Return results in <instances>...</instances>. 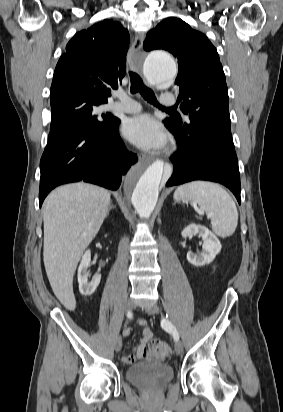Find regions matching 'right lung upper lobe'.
<instances>
[{
	"mask_svg": "<svg viewBox=\"0 0 283 412\" xmlns=\"http://www.w3.org/2000/svg\"><path fill=\"white\" fill-rule=\"evenodd\" d=\"M128 47V31L112 20L75 34L54 72L51 116L75 103H107L125 75Z\"/></svg>",
	"mask_w": 283,
	"mask_h": 412,
	"instance_id": "cb5924a9",
	"label": "right lung upper lobe"
}]
</instances>
